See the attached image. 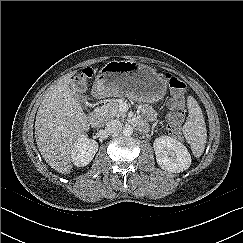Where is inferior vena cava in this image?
<instances>
[{"label":"inferior vena cava","instance_id":"602c4592","mask_svg":"<svg viewBox=\"0 0 243 243\" xmlns=\"http://www.w3.org/2000/svg\"><path fill=\"white\" fill-rule=\"evenodd\" d=\"M122 130V124L118 119L110 120L106 123L105 131L109 135H117Z\"/></svg>","mask_w":243,"mask_h":243}]
</instances>
